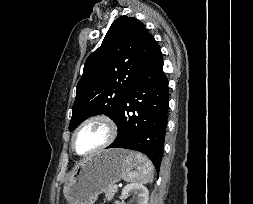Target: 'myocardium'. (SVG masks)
Returning a JSON list of instances; mask_svg holds the SVG:
<instances>
[{
    "label": "myocardium",
    "mask_w": 253,
    "mask_h": 204,
    "mask_svg": "<svg viewBox=\"0 0 253 204\" xmlns=\"http://www.w3.org/2000/svg\"><path fill=\"white\" fill-rule=\"evenodd\" d=\"M93 122L103 123L108 129V136L103 143H101L100 145H98L94 149L81 154L76 150V147H75L76 136H77L78 132L83 127H85L86 125L93 123ZM117 133H118L117 125L110 117H108L106 115H102V114L91 116V117L85 119L84 121H82L74 130V132L72 134V138H71L72 151L80 157H87V156L93 155V154L107 148L108 146H110L114 142V140L116 139Z\"/></svg>",
    "instance_id": "f54148a6"
}]
</instances>
